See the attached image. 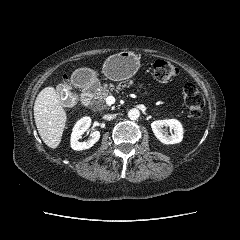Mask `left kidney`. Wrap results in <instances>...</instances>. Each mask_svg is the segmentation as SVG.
Instances as JSON below:
<instances>
[{
	"label": "left kidney",
	"mask_w": 240,
	"mask_h": 240,
	"mask_svg": "<svg viewBox=\"0 0 240 240\" xmlns=\"http://www.w3.org/2000/svg\"><path fill=\"white\" fill-rule=\"evenodd\" d=\"M163 127H169L174 133L168 135L166 129ZM151 128L153 130L156 138L164 144H175L179 143L183 139V128L181 123L176 119H165L157 120L151 123Z\"/></svg>",
	"instance_id": "1"
}]
</instances>
